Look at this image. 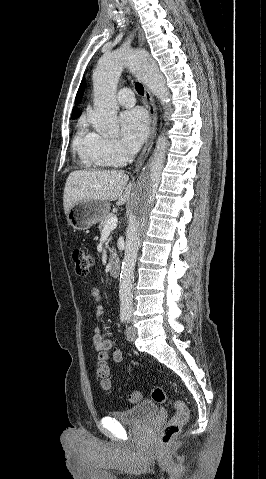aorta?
Segmentation results:
<instances>
[{"instance_id":"762f6f07","label":"aorta","mask_w":266,"mask_h":479,"mask_svg":"<svg viewBox=\"0 0 266 479\" xmlns=\"http://www.w3.org/2000/svg\"><path fill=\"white\" fill-rule=\"evenodd\" d=\"M151 61L144 50H117L104 54L93 74L94 106L89 120L96 131L116 136L119 132L117 122L116 89L123 69L128 66L134 71H143L151 67ZM153 89L157 95L165 99L167 91L160 76L154 74ZM156 180L152 170L147 169L143 175L137 192L132 200L131 208L134 220L126 234L125 253L120 273L119 297L121 314L132 312L134 270L142 234L147 223V209L151 190Z\"/></svg>"}]
</instances>
